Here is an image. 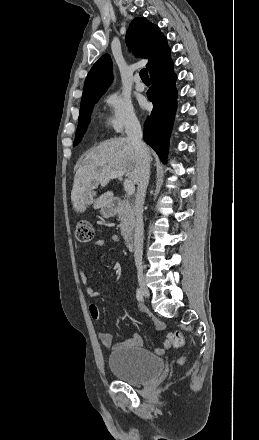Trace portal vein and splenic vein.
<instances>
[{"label":"portal vein and splenic vein","mask_w":259,"mask_h":440,"mask_svg":"<svg viewBox=\"0 0 259 440\" xmlns=\"http://www.w3.org/2000/svg\"><path fill=\"white\" fill-rule=\"evenodd\" d=\"M124 176V172L123 171H114L112 172L108 177H106L104 180L101 181V185L105 186L107 185V183L111 180V179H122ZM124 189L127 193V195L131 196L134 194L135 192V186L134 184L129 180V179H125L124 180Z\"/></svg>","instance_id":"1"}]
</instances>
